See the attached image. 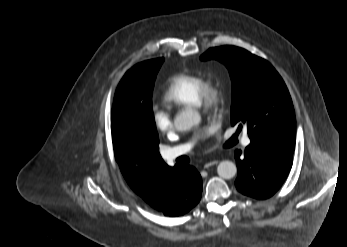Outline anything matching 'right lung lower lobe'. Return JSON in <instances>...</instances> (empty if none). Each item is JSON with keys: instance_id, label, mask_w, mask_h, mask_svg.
<instances>
[{"instance_id": "98d812e1", "label": "right lung lower lobe", "mask_w": 347, "mask_h": 247, "mask_svg": "<svg viewBox=\"0 0 347 247\" xmlns=\"http://www.w3.org/2000/svg\"><path fill=\"white\" fill-rule=\"evenodd\" d=\"M168 181L169 197L164 208H155L165 216H180L198 204L202 193V179L198 171L187 164L172 168Z\"/></svg>"}]
</instances>
